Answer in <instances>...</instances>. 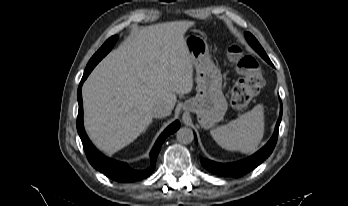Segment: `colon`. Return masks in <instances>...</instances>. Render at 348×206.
Instances as JSON below:
<instances>
[{
	"label": "colon",
	"instance_id": "1",
	"mask_svg": "<svg viewBox=\"0 0 348 206\" xmlns=\"http://www.w3.org/2000/svg\"><path fill=\"white\" fill-rule=\"evenodd\" d=\"M229 58L236 63L241 75L232 91V104L238 110H246L253 96L263 86V67L252 56L244 55L242 47L237 43L231 44Z\"/></svg>",
	"mask_w": 348,
	"mask_h": 206
}]
</instances>
